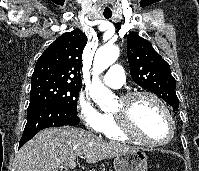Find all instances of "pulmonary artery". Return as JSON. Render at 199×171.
Wrapping results in <instances>:
<instances>
[{
	"instance_id": "1",
	"label": "pulmonary artery",
	"mask_w": 199,
	"mask_h": 171,
	"mask_svg": "<svg viewBox=\"0 0 199 171\" xmlns=\"http://www.w3.org/2000/svg\"><path fill=\"white\" fill-rule=\"evenodd\" d=\"M104 83L111 88H120L125 82L124 69L118 64L110 66L103 77Z\"/></svg>"
}]
</instances>
